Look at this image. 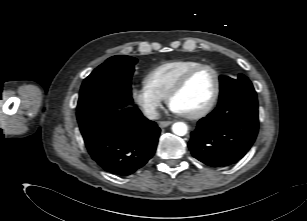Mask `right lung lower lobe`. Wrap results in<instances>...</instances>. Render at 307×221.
I'll use <instances>...</instances> for the list:
<instances>
[{
    "label": "right lung lower lobe",
    "mask_w": 307,
    "mask_h": 221,
    "mask_svg": "<svg viewBox=\"0 0 307 221\" xmlns=\"http://www.w3.org/2000/svg\"><path fill=\"white\" fill-rule=\"evenodd\" d=\"M79 127L91 158L105 171L119 176L146 165L160 134L155 122L123 102L89 114Z\"/></svg>",
    "instance_id": "right-lung-lower-lobe-1"
}]
</instances>
